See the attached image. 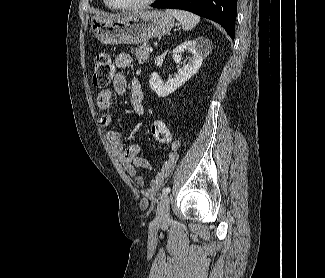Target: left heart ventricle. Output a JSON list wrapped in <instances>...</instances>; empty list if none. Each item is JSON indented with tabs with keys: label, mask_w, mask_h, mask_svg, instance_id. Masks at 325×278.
Wrapping results in <instances>:
<instances>
[{
	"label": "left heart ventricle",
	"mask_w": 325,
	"mask_h": 278,
	"mask_svg": "<svg viewBox=\"0 0 325 278\" xmlns=\"http://www.w3.org/2000/svg\"><path fill=\"white\" fill-rule=\"evenodd\" d=\"M117 4L120 5H128V4H136V3H140L144 0H114Z\"/></svg>",
	"instance_id": "b2bd125f"
}]
</instances>
